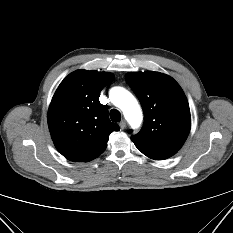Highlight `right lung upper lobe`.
Returning <instances> with one entry per match:
<instances>
[{
    "label": "right lung upper lobe",
    "instance_id": "obj_1",
    "mask_svg": "<svg viewBox=\"0 0 233 233\" xmlns=\"http://www.w3.org/2000/svg\"><path fill=\"white\" fill-rule=\"evenodd\" d=\"M111 73L77 70L57 88L48 126L57 150L70 161L88 162L103 153L109 135L120 128L99 102L101 90L113 81Z\"/></svg>",
    "mask_w": 233,
    "mask_h": 233
}]
</instances>
